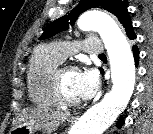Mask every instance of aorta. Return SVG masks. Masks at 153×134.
Segmentation results:
<instances>
[{
  "label": "aorta",
  "instance_id": "aorta-1",
  "mask_svg": "<svg viewBox=\"0 0 153 134\" xmlns=\"http://www.w3.org/2000/svg\"><path fill=\"white\" fill-rule=\"evenodd\" d=\"M82 31L100 34L108 53L113 86L104 98L87 110L72 128V134H103L126 108L135 86L131 47L116 22L99 11H87L78 20Z\"/></svg>",
  "mask_w": 153,
  "mask_h": 134
}]
</instances>
